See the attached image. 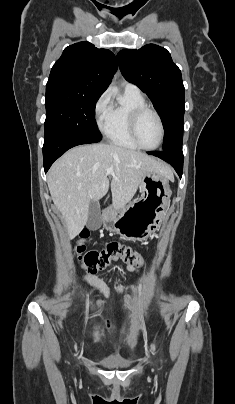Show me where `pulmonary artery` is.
I'll return each instance as SVG.
<instances>
[{
  "label": "pulmonary artery",
  "instance_id": "1",
  "mask_svg": "<svg viewBox=\"0 0 235 404\" xmlns=\"http://www.w3.org/2000/svg\"><path fill=\"white\" fill-rule=\"evenodd\" d=\"M124 89L127 91H132V92H139V88L131 83H125Z\"/></svg>",
  "mask_w": 235,
  "mask_h": 404
}]
</instances>
